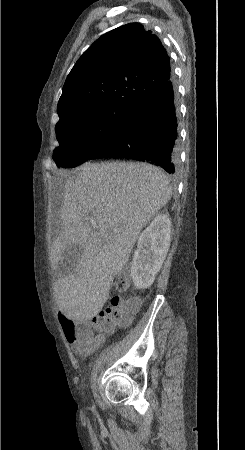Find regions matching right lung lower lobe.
I'll use <instances>...</instances> for the list:
<instances>
[{
	"instance_id": "right-lung-lower-lobe-1",
	"label": "right lung lower lobe",
	"mask_w": 245,
	"mask_h": 450,
	"mask_svg": "<svg viewBox=\"0 0 245 450\" xmlns=\"http://www.w3.org/2000/svg\"><path fill=\"white\" fill-rule=\"evenodd\" d=\"M178 123L172 77L141 101L128 117L120 138L90 159L113 157L149 162L170 174L177 171Z\"/></svg>"
}]
</instances>
